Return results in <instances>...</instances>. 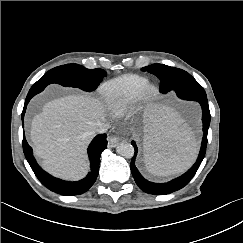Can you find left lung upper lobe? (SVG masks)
<instances>
[{"mask_svg":"<svg viewBox=\"0 0 243 243\" xmlns=\"http://www.w3.org/2000/svg\"><path fill=\"white\" fill-rule=\"evenodd\" d=\"M156 75L160 79V91L166 94L169 91H179L200 85L189 73L182 69L163 64H153L142 68Z\"/></svg>","mask_w":243,"mask_h":243,"instance_id":"1","label":"left lung upper lobe"}]
</instances>
